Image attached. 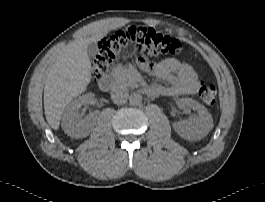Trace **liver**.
<instances>
[{"label":"liver","mask_w":265,"mask_h":202,"mask_svg":"<svg viewBox=\"0 0 265 202\" xmlns=\"http://www.w3.org/2000/svg\"><path fill=\"white\" fill-rule=\"evenodd\" d=\"M105 34L69 43L55 57L44 87V110L48 124L58 130L61 115L71 100L83 93L91 81L87 47Z\"/></svg>","instance_id":"1"}]
</instances>
